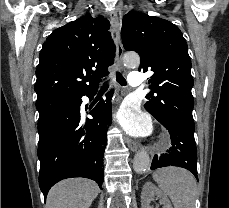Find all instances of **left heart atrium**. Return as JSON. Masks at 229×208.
Listing matches in <instances>:
<instances>
[{
	"label": "left heart atrium",
	"instance_id": "obj_1",
	"mask_svg": "<svg viewBox=\"0 0 229 208\" xmlns=\"http://www.w3.org/2000/svg\"><path fill=\"white\" fill-rule=\"evenodd\" d=\"M116 120L132 135L146 136L150 132L149 117L136 104L124 103L117 112Z\"/></svg>",
	"mask_w": 229,
	"mask_h": 208
}]
</instances>
